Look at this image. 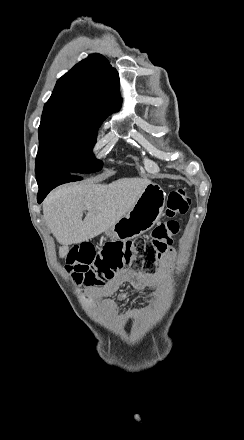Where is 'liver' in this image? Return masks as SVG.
Masks as SVG:
<instances>
[{"label": "liver", "mask_w": 244, "mask_h": 440, "mask_svg": "<svg viewBox=\"0 0 244 440\" xmlns=\"http://www.w3.org/2000/svg\"><path fill=\"white\" fill-rule=\"evenodd\" d=\"M149 184L147 178H122L112 184H66L51 192L43 202V216L61 244L60 258L67 256L71 244L91 240L112 228ZM85 210L87 216L82 220Z\"/></svg>", "instance_id": "liver-1"}]
</instances>
